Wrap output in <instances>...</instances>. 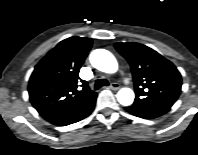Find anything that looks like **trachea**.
I'll return each instance as SVG.
<instances>
[{
	"instance_id": "1",
	"label": "trachea",
	"mask_w": 198,
	"mask_h": 155,
	"mask_svg": "<svg viewBox=\"0 0 198 155\" xmlns=\"http://www.w3.org/2000/svg\"><path fill=\"white\" fill-rule=\"evenodd\" d=\"M108 85H109V82H108L106 79H98V80H96V82H95L94 89H95V90H98V89H100L101 87H103V86H108Z\"/></svg>"
}]
</instances>
